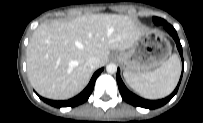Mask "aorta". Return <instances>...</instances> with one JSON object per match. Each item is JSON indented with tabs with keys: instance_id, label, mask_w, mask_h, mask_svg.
I'll use <instances>...</instances> for the list:
<instances>
[{
	"instance_id": "1",
	"label": "aorta",
	"mask_w": 203,
	"mask_h": 123,
	"mask_svg": "<svg viewBox=\"0 0 203 123\" xmlns=\"http://www.w3.org/2000/svg\"><path fill=\"white\" fill-rule=\"evenodd\" d=\"M106 71L110 74L116 73L117 66L114 63H110L106 66Z\"/></svg>"
}]
</instances>
